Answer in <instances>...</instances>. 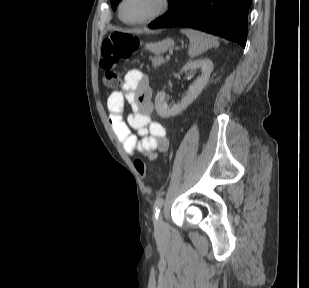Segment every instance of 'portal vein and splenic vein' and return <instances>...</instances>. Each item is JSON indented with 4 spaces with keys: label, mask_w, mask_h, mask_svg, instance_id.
I'll use <instances>...</instances> for the list:
<instances>
[{
    "label": "portal vein and splenic vein",
    "mask_w": 309,
    "mask_h": 288,
    "mask_svg": "<svg viewBox=\"0 0 309 288\" xmlns=\"http://www.w3.org/2000/svg\"><path fill=\"white\" fill-rule=\"evenodd\" d=\"M169 59H170V55L167 54V55H166V60H169Z\"/></svg>",
    "instance_id": "18ae733b"
}]
</instances>
